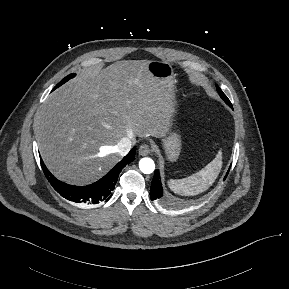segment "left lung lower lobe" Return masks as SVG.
Returning a JSON list of instances; mask_svg holds the SVG:
<instances>
[{
  "label": "left lung lower lobe",
  "mask_w": 289,
  "mask_h": 289,
  "mask_svg": "<svg viewBox=\"0 0 289 289\" xmlns=\"http://www.w3.org/2000/svg\"><path fill=\"white\" fill-rule=\"evenodd\" d=\"M231 108V102L229 101V99L224 100ZM229 172V170H228ZM228 172L226 174V176L228 175ZM225 176V178H226ZM224 178V180H225ZM163 197V188H162V184H161V179H160V173L159 170L157 169L154 173V177L152 179V183H151V188H150V198L151 200H156V199H161Z\"/></svg>",
  "instance_id": "left-lung-lower-lobe-1"
}]
</instances>
